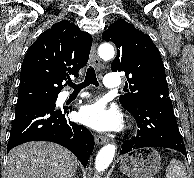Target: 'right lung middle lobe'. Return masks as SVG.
<instances>
[{"label":"right lung middle lobe","mask_w":194,"mask_h":178,"mask_svg":"<svg viewBox=\"0 0 194 178\" xmlns=\"http://www.w3.org/2000/svg\"><path fill=\"white\" fill-rule=\"evenodd\" d=\"M56 100H57V97L49 98V99H43V100H38V101H42V102H55Z\"/></svg>","instance_id":"right-lung-middle-lobe-1"}]
</instances>
